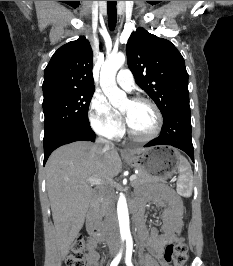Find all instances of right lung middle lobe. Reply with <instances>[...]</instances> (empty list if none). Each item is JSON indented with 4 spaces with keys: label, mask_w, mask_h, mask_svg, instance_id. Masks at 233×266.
Listing matches in <instances>:
<instances>
[{
    "label": "right lung middle lobe",
    "mask_w": 233,
    "mask_h": 266,
    "mask_svg": "<svg viewBox=\"0 0 233 266\" xmlns=\"http://www.w3.org/2000/svg\"><path fill=\"white\" fill-rule=\"evenodd\" d=\"M94 90L65 91L44 96V137L66 127L89 125L88 107Z\"/></svg>",
    "instance_id": "dd1d6c3e"
}]
</instances>
